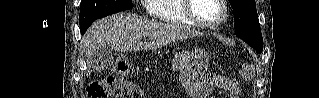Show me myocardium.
<instances>
[{"instance_id": "obj_1", "label": "myocardium", "mask_w": 319, "mask_h": 98, "mask_svg": "<svg viewBox=\"0 0 319 98\" xmlns=\"http://www.w3.org/2000/svg\"><path fill=\"white\" fill-rule=\"evenodd\" d=\"M191 2H192L191 0H183L182 4H183V11L185 16L193 25L201 27V28H205V29H216L226 22L228 17V7L225 0H218L219 4L222 7L223 13L221 18L218 21L213 23H207L197 18L192 12Z\"/></svg>"}]
</instances>
